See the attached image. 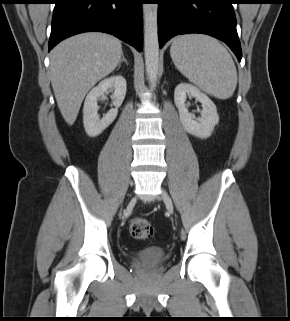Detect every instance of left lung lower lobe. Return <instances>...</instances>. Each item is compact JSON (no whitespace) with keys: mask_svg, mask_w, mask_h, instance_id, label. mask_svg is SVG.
I'll list each match as a JSON object with an SVG mask.
<instances>
[{"mask_svg":"<svg viewBox=\"0 0 290 321\" xmlns=\"http://www.w3.org/2000/svg\"><path fill=\"white\" fill-rule=\"evenodd\" d=\"M235 0H156L160 48L180 34L202 33L225 42L242 58L232 7Z\"/></svg>","mask_w":290,"mask_h":321,"instance_id":"obj_1","label":"left lung lower lobe"}]
</instances>
